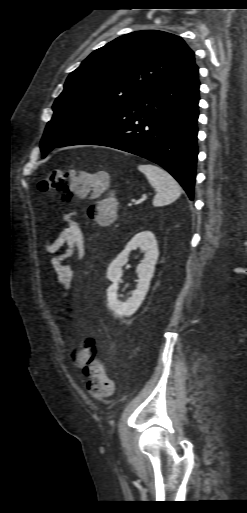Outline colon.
Instances as JSON below:
<instances>
[{
	"mask_svg": "<svg viewBox=\"0 0 247 513\" xmlns=\"http://www.w3.org/2000/svg\"><path fill=\"white\" fill-rule=\"evenodd\" d=\"M107 184L105 174L66 169L48 173L39 182L38 188L42 192H57L66 202L72 201L75 196L91 198L94 203L88 207V217L101 226H109L116 220V200L112 195L103 196ZM98 351L97 343L77 340L70 348V357L75 361L76 371L87 379L88 392L95 398L104 399L112 395L114 386L102 362L95 358Z\"/></svg>",
	"mask_w": 247,
	"mask_h": 513,
	"instance_id": "obj_1",
	"label": "colon"
}]
</instances>
